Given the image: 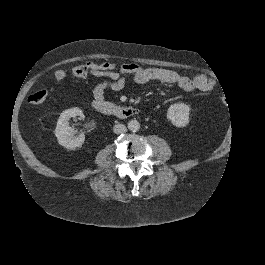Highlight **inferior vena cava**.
Listing matches in <instances>:
<instances>
[{
    "label": "inferior vena cava",
    "instance_id": "1",
    "mask_svg": "<svg viewBox=\"0 0 265 265\" xmlns=\"http://www.w3.org/2000/svg\"><path fill=\"white\" fill-rule=\"evenodd\" d=\"M113 132L115 134H121L126 132V127L123 124H115L113 127Z\"/></svg>",
    "mask_w": 265,
    "mask_h": 265
}]
</instances>
